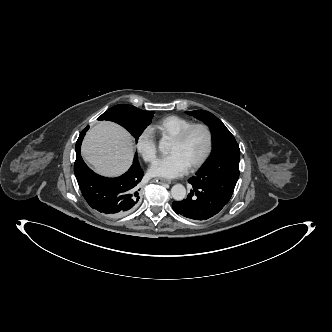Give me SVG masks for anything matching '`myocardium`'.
<instances>
[{"mask_svg":"<svg viewBox=\"0 0 332 332\" xmlns=\"http://www.w3.org/2000/svg\"><path fill=\"white\" fill-rule=\"evenodd\" d=\"M196 128H201L205 131L206 136H207V144H206V148H205L204 152L202 153V155L189 165V168L192 170L200 167L208 159V157L210 156V154L212 152L213 132H212L211 128L206 123L195 122V123L190 124L186 128H184L172 139L173 142L181 144L186 140V138L188 137L190 132Z\"/></svg>","mask_w":332,"mask_h":332,"instance_id":"obj_1","label":"myocardium"}]
</instances>
